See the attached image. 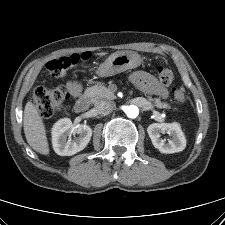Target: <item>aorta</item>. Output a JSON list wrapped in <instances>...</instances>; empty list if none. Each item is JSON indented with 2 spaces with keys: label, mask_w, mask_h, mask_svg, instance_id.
I'll list each match as a JSON object with an SVG mask.
<instances>
[{
  "label": "aorta",
  "mask_w": 225,
  "mask_h": 225,
  "mask_svg": "<svg viewBox=\"0 0 225 225\" xmlns=\"http://www.w3.org/2000/svg\"><path fill=\"white\" fill-rule=\"evenodd\" d=\"M126 115L129 117V118H136L139 114V109L136 105H129L127 106L126 108Z\"/></svg>",
  "instance_id": "aorta-1"
}]
</instances>
